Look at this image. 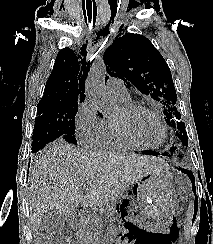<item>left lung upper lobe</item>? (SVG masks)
<instances>
[{
	"mask_svg": "<svg viewBox=\"0 0 213 244\" xmlns=\"http://www.w3.org/2000/svg\"><path fill=\"white\" fill-rule=\"evenodd\" d=\"M103 59L111 76L122 79L162 105L165 121L176 138L187 146V132L176 108L177 94L171 71L151 41L139 34H119L105 51ZM178 157L182 158L180 154Z\"/></svg>",
	"mask_w": 213,
	"mask_h": 244,
	"instance_id": "left-lung-upper-lobe-1",
	"label": "left lung upper lobe"
}]
</instances>
